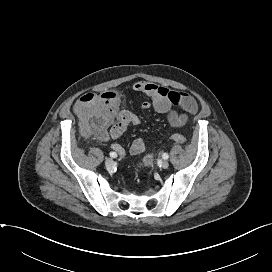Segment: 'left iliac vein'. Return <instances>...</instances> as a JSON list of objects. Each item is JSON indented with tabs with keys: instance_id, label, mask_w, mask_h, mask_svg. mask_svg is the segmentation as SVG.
<instances>
[{
	"instance_id": "1",
	"label": "left iliac vein",
	"mask_w": 272,
	"mask_h": 272,
	"mask_svg": "<svg viewBox=\"0 0 272 272\" xmlns=\"http://www.w3.org/2000/svg\"><path fill=\"white\" fill-rule=\"evenodd\" d=\"M161 167H162L163 169H167V168L169 167V163H168L167 161H163V162L161 163Z\"/></svg>"
}]
</instances>
